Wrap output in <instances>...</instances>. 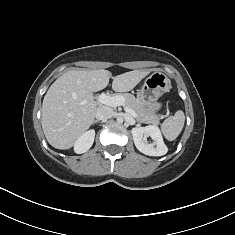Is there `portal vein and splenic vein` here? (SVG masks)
<instances>
[{
  "label": "portal vein and splenic vein",
  "instance_id": "1",
  "mask_svg": "<svg viewBox=\"0 0 235 235\" xmlns=\"http://www.w3.org/2000/svg\"><path fill=\"white\" fill-rule=\"evenodd\" d=\"M98 101L102 104L111 106V107H117V106H124L125 101L124 98L120 95L117 96H107L105 94H101L98 96ZM124 110L129 113L131 116L136 117V113L134 110L124 107Z\"/></svg>",
  "mask_w": 235,
  "mask_h": 235
}]
</instances>
